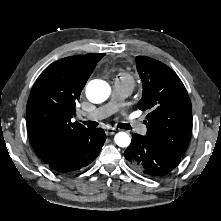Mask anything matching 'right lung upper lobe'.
I'll return each mask as SVG.
<instances>
[{
	"instance_id": "cb5924a9",
	"label": "right lung upper lobe",
	"mask_w": 221,
	"mask_h": 221,
	"mask_svg": "<svg viewBox=\"0 0 221 221\" xmlns=\"http://www.w3.org/2000/svg\"><path fill=\"white\" fill-rule=\"evenodd\" d=\"M104 53L70 56L48 66L36 80L26 109L31 145L45 163L57 159L90 129L71 122L82 89Z\"/></svg>"
}]
</instances>
